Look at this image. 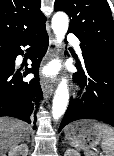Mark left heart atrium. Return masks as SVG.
Returning a JSON list of instances; mask_svg holds the SVG:
<instances>
[{"label": "left heart atrium", "instance_id": "left-heart-atrium-1", "mask_svg": "<svg viewBox=\"0 0 114 156\" xmlns=\"http://www.w3.org/2000/svg\"><path fill=\"white\" fill-rule=\"evenodd\" d=\"M55 72H56V66H49V67L45 68V70H44V74H46L48 76L54 75Z\"/></svg>", "mask_w": 114, "mask_h": 156}]
</instances>
